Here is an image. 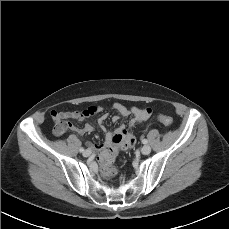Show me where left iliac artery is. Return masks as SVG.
I'll return each instance as SVG.
<instances>
[{
    "instance_id": "1",
    "label": "left iliac artery",
    "mask_w": 229,
    "mask_h": 229,
    "mask_svg": "<svg viewBox=\"0 0 229 229\" xmlns=\"http://www.w3.org/2000/svg\"><path fill=\"white\" fill-rule=\"evenodd\" d=\"M142 143L143 144H147V140L144 138V139H142Z\"/></svg>"
}]
</instances>
